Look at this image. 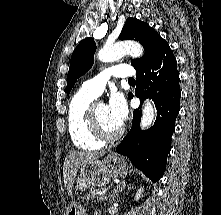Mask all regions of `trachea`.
<instances>
[{"mask_svg": "<svg viewBox=\"0 0 221 215\" xmlns=\"http://www.w3.org/2000/svg\"><path fill=\"white\" fill-rule=\"evenodd\" d=\"M129 82L135 81L134 78H129L128 79Z\"/></svg>", "mask_w": 221, "mask_h": 215, "instance_id": "trachea-1", "label": "trachea"}]
</instances>
